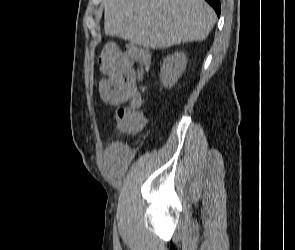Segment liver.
I'll list each match as a JSON object with an SVG mask.
<instances>
[{"label":"liver","instance_id":"obj_1","mask_svg":"<svg viewBox=\"0 0 295 250\" xmlns=\"http://www.w3.org/2000/svg\"><path fill=\"white\" fill-rule=\"evenodd\" d=\"M104 8L106 35L152 49L203 41L216 22L204 0H105Z\"/></svg>","mask_w":295,"mask_h":250}]
</instances>
